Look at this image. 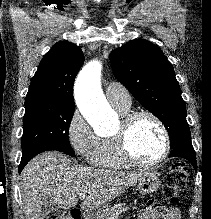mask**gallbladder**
Instances as JSON below:
<instances>
[{
	"label": "gallbladder",
	"mask_w": 211,
	"mask_h": 219,
	"mask_svg": "<svg viewBox=\"0 0 211 219\" xmlns=\"http://www.w3.org/2000/svg\"><path fill=\"white\" fill-rule=\"evenodd\" d=\"M59 206L55 200L48 198L42 203V212L47 219L52 213L59 211Z\"/></svg>",
	"instance_id": "gallbladder-1"
}]
</instances>
